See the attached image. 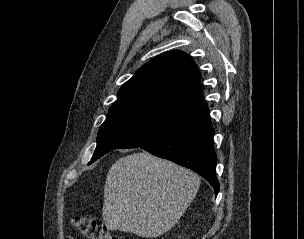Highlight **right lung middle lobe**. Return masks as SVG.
Segmentation results:
<instances>
[{
	"label": "right lung middle lobe",
	"mask_w": 304,
	"mask_h": 239,
	"mask_svg": "<svg viewBox=\"0 0 304 239\" xmlns=\"http://www.w3.org/2000/svg\"><path fill=\"white\" fill-rule=\"evenodd\" d=\"M168 120L164 116L142 110L110 112L99 129L97 147L89 164Z\"/></svg>",
	"instance_id": "obj_1"
}]
</instances>
